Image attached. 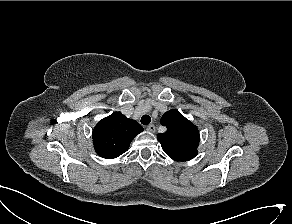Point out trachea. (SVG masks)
Segmentation results:
<instances>
[{
	"instance_id": "1",
	"label": "trachea",
	"mask_w": 292,
	"mask_h": 224,
	"mask_svg": "<svg viewBox=\"0 0 292 224\" xmlns=\"http://www.w3.org/2000/svg\"><path fill=\"white\" fill-rule=\"evenodd\" d=\"M151 122V117L149 115H144L142 118H141V123L143 125H148L149 123Z\"/></svg>"
}]
</instances>
